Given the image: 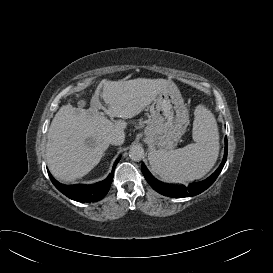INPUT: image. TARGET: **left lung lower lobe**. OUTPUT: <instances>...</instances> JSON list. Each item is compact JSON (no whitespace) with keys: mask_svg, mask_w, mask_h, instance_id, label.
<instances>
[{"mask_svg":"<svg viewBox=\"0 0 273 273\" xmlns=\"http://www.w3.org/2000/svg\"><path fill=\"white\" fill-rule=\"evenodd\" d=\"M226 159H227V137H225L224 157H223L222 163L220 164L218 169L207 179H205L201 182L189 184L188 186L169 185V184H165V183L158 181L156 178H154L151 175V173L148 171V169L146 168V166L143 163L141 165V169H142V173H143L145 179L147 180V182L149 183V185L154 190H156L158 193L165 195V196H169V197L182 198V197L195 196V195L200 194L201 192L205 191L207 188H209L214 183V181L216 180V178L218 177L220 172L222 171V169L225 165Z\"/></svg>","mask_w":273,"mask_h":273,"instance_id":"left-lung-lower-lobe-1","label":"left lung lower lobe"}]
</instances>
